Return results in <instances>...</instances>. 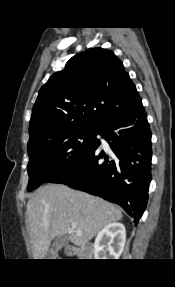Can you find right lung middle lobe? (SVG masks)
I'll return each instance as SVG.
<instances>
[{
    "label": "right lung middle lobe",
    "mask_w": 175,
    "mask_h": 287,
    "mask_svg": "<svg viewBox=\"0 0 175 287\" xmlns=\"http://www.w3.org/2000/svg\"><path fill=\"white\" fill-rule=\"evenodd\" d=\"M99 129L98 125L78 126L28 144V190L49 182L84 160L98 142Z\"/></svg>",
    "instance_id": "dd1d6c3e"
}]
</instances>
